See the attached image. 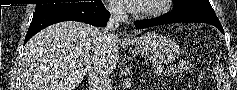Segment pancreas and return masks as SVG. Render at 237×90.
<instances>
[{
	"instance_id": "pancreas-1",
	"label": "pancreas",
	"mask_w": 237,
	"mask_h": 90,
	"mask_svg": "<svg viewBox=\"0 0 237 90\" xmlns=\"http://www.w3.org/2000/svg\"><path fill=\"white\" fill-rule=\"evenodd\" d=\"M191 69V64H178L175 68H171L173 74H181V72H188Z\"/></svg>"
}]
</instances>
